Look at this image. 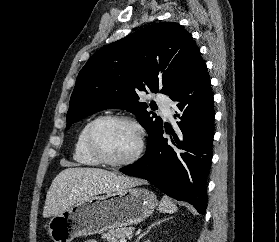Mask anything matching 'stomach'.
<instances>
[{"label":"stomach","mask_w":279,"mask_h":242,"mask_svg":"<svg viewBox=\"0 0 279 242\" xmlns=\"http://www.w3.org/2000/svg\"><path fill=\"white\" fill-rule=\"evenodd\" d=\"M157 205L153 192L129 187L74 203L54 215L48 221L47 230L54 242H71L76 237L138 224L150 216Z\"/></svg>","instance_id":"stomach-1"}]
</instances>
